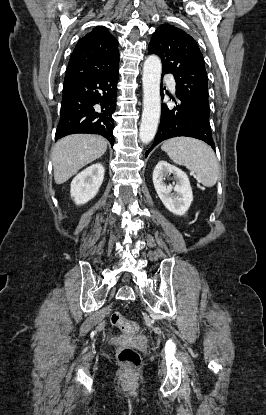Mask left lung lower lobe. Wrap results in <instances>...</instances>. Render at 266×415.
Returning <instances> with one entry per match:
<instances>
[{"instance_id": "obj_1", "label": "left lung lower lobe", "mask_w": 266, "mask_h": 415, "mask_svg": "<svg viewBox=\"0 0 266 415\" xmlns=\"http://www.w3.org/2000/svg\"><path fill=\"white\" fill-rule=\"evenodd\" d=\"M161 95H163L162 89ZM179 100L180 102L174 108H168L166 104H162L160 126L153 145L146 151V157L161 141L177 136L200 139L215 150L209 121L195 112L185 101Z\"/></svg>"}]
</instances>
